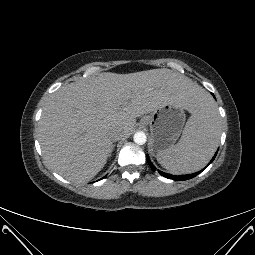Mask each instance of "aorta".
I'll return each instance as SVG.
<instances>
[{
	"instance_id": "762f6f07",
	"label": "aorta",
	"mask_w": 255,
	"mask_h": 255,
	"mask_svg": "<svg viewBox=\"0 0 255 255\" xmlns=\"http://www.w3.org/2000/svg\"><path fill=\"white\" fill-rule=\"evenodd\" d=\"M133 140L136 144L138 145H143L146 143L147 141V136L144 132L142 131H138L134 134L133 136Z\"/></svg>"
}]
</instances>
